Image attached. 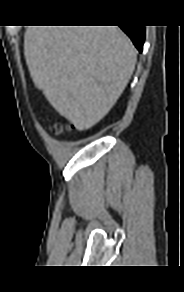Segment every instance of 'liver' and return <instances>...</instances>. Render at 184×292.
<instances>
[{
  "mask_svg": "<svg viewBox=\"0 0 184 292\" xmlns=\"http://www.w3.org/2000/svg\"><path fill=\"white\" fill-rule=\"evenodd\" d=\"M24 51L35 86L81 131L107 115L137 60L118 26H29Z\"/></svg>",
  "mask_w": 184,
  "mask_h": 292,
  "instance_id": "1",
  "label": "liver"
}]
</instances>
